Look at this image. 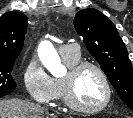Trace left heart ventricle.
<instances>
[{
    "instance_id": "left-heart-ventricle-1",
    "label": "left heart ventricle",
    "mask_w": 133,
    "mask_h": 118,
    "mask_svg": "<svg viewBox=\"0 0 133 118\" xmlns=\"http://www.w3.org/2000/svg\"><path fill=\"white\" fill-rule=\"evenodd\" d=\"M106 90L99 74L93 69L84 70L75 83V98L83 106L95 107L103 103Z\"/></svg>"
}]
</instances>
